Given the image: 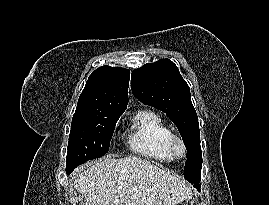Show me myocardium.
I'll return each mask as SVG.
<instances>
[{"mask_svg": "<svg viewBox=\"0 0 269 205\" xmlns=\"http://www.w3.org/2000/svg\"><path fill=\"white\" fill-rule=\"evenodd\" d=\"M169 149L175 157H184L187 153V145L183 137L177 134H172L169 138Z\"/></svg>", "mask_w": 269, "mask_h": 205, "instance_id": "1", "label": "myocardium"}]
</instances>
